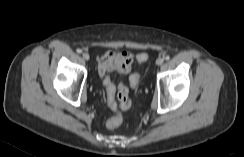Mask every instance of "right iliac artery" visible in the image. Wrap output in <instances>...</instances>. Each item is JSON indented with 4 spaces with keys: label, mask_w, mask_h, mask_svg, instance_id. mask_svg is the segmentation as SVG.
I'll list each match as a JSON object with an SVG mask.
<instances>
[{
    "label": "right iliac artery",
    "mask_w": 244,
    "mask_h": 157,
    "mask_svg": "<svg viewBox=\"0 0 244 157\" xmlns=\"http://www.w3.org/2000/svg\"><path fill=\"white\" fill-rule=\"evenodd\" d=\"M77 53H82V50L81 49H77Z\"/></svg>",
    "instance_id": "right-iliac-artery-1"
}]
</instances>
